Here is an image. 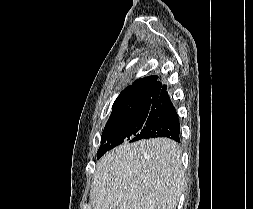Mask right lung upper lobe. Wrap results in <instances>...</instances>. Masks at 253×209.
<instances>
[{"label": "right lung upper lobe", "instance_id": "obj_1", "mask_svg": "<svg viewBox=\"0 0 253 209\" xmlns=\"http://www.w3.org/2000/svg\"><path fill=\"white\" fill-rule=\"evenodd\" d=\"M167 86L158 81L156 75L141 78L126 87L113 104V110L108 121L126 115L134 110L148 108L161 99Z\"/></svg>", "mask_w": 253, "mask_h": 209}]
</instances>
